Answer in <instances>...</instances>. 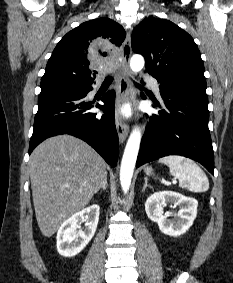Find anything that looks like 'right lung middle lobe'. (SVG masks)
<instances>
[{"mask_svg": "<svg viewBox=\"0 0 233 283\" xmlns=\"http://www.w3.org/2000/svg\"><path fill=\"white\" fill-rule=\"evenodd\" d=\"M40 87H41V90L49 89V88H67V89L83 90L86 88L85 86H81L75 83H71L68 81H62V80H52V81L41 82Z\"/></svg>", "mask_w": 233, "mask_h": 283, "instance_id": "right-lung-middle-lobe-1", "label": "right lung middle lobe"}]
</instances>
